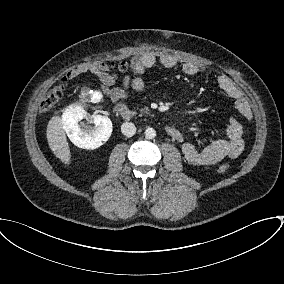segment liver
<instances>
[{
  "label": "liver",
  "mask_w": 284,
  "mask_h": 284,
  "mask_svg": "<svg viewBox=\"0 0 284 284\" xmlns=\"http://www.w3.org/2000/svg\"><path fill=\"white\" fill-rule=\"evenodd\" d=\"M46 134L52 152L61 162L69 165L71 161V152L63 128V122L60 117L54 116L50 119L47 125Z\"/></svg>",
  "instance_id": "liver-1"
}]
</instances>
